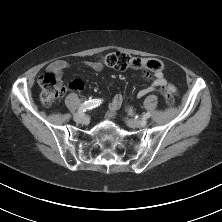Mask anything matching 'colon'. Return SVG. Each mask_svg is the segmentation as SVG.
<instances>
[{
	"mask_svg": "<svg viewBox=\"0 0 222 222\" xmlns=\"http://www.w3.org/2000/svg\"><path fill=\"white\" fill-rule=\"evenodd\" d=\"M99 63L121 71L146 69L148 72H159L163 69V64L158 59L132 57L120 52H110L100 56ZM40 86V101L45 107L52 106L67 89L66 84L54 72H48L42 76ZM161 92L167 104H173L174 98L172 93L166 87H161Z\"/></svg>",
	"mask_w": 222,
	"mask_h": 222,
	"instance_id": "5ec220e1",
	"label": "colon"
}]
</instances>
